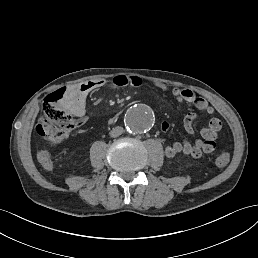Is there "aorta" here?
<instances>
[{"mask_svg": "<svg viewBox=\"0 0 258 258\" xmlns=\"http://www.w3.org/2000/svg\"><path fill=\"white\" fill-rule=\"evenodd\" d=\"M154 124V115L146 105H137L131 108L125 116V126L129 133H144Z\"/></svg>", "mask_w": 258, "mask_h": 258, "instance_id": "762f6f07", "label": "aorta"}]
</instances>
